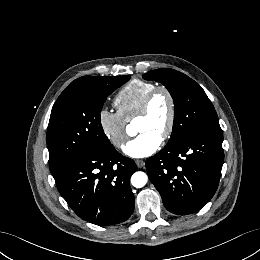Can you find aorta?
I'll use <instances>...</instances> for the list:
<instances>
[{
  "label": "aorta",
  "instance_id": "obj_1",
  "mask_svg": "<svg viewBox=\"0 0 260 260\" xmlns=\"http://www.w3.org/2000/svg\"><path fill=\"white\" fill-rule=\"evenodd\" d=\"M129 128H127V131L129 132ZM148 181V176L146 173L142 171L135 172L131 177V184L136 188H142L146 185Z\"/></svg>",
  "mask_w": 260,
  "mask_h": 260
}]
</instances>
